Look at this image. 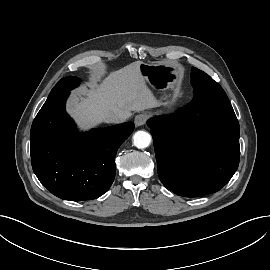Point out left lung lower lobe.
Returning <instances> with one entry per match:
<instances>
[{"label": "left lung lower lobe", "mask_w": 270, "mask_h": 270, "mask_svg": "<svg viewBox=\"0 0 270 270\" xmlns=\"http://www.w3.org/2000/svg\"><path fill=\"white\" fill-rule=\"evenodd\" d=\"M178 113L152 118L157 170L167 189L200 197L223 188L239 165V123L231 105L203 106L197 91Z\"/></svg>", "instance_id": "0a47b994"}]
</instances>
